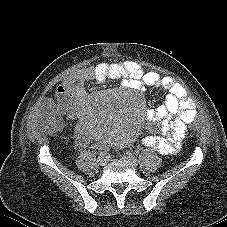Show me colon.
<instances>
[{"mask_svg":"<svg viewBox=\"0 0 227 227\" xmlns=\"http://www.w3.org/2000/svg\"><path fill=\"white\" fill-rule=\"evenodd\" d=\"M181 135L188 142H195L197 140V133L193 130L191 126H183L181 128Z\"/></svg>","mask_w":227,"mask_h":227,"instance_id":"5ec220e1","label":"colon"}]
</instances>
